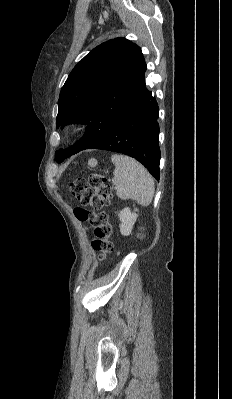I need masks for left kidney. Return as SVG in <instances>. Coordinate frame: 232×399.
<instances>
[{
	"mask_svg": "<svg viewBox=\"0 0 232 399\" xmlns=\"http://www.w3.org/2000/svg\"><path fill=\"white\" fill-rule=\"evenodd\" d=\"M120 217V231L122 235H129V233H132L133 225L138 217L137 213H134V211H131L130 207H124L122 211L119 213ZM140 237V235H138Z\"/></svg>",
	"mask_w": 232,
	"mask_h": 399,
	"instance_id": "1",
	"label": "left kidney"
}]
</instances>
